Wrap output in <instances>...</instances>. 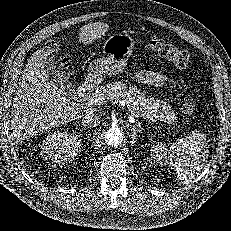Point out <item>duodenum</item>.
Returning <instances> with one entry per match:
<instances>
[{"label":"duodenum","mask_w":231,"mask_h":231,"mask_svg":"<svg viewBox=\"0 0 231 231\" xmlns=\"http://www.w3.org/2000/svg\"><path fill=\"white\" fill-rule=\"evenodd\" d=\"M96 85V81L94 78L90 77L85 82L82 83V85L79 87V92L82 95H85L89 92H91Z\"/></svg>","instance_id":"obj_1"}]
</instances>
